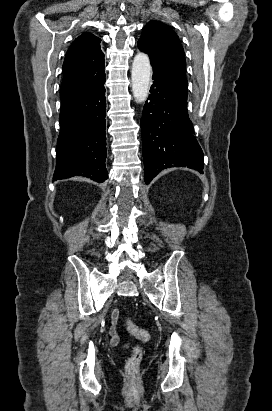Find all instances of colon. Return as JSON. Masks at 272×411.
I'll list each match as a JSON object with an SVG mask.
<instances>
[{"instance_id":"5ec220e1","label":"colon","mask_w":272,"mask_h":411,"mask_svg":"<svg viewBox=\"0 0 272 411\" xmlns=\"http://www.w3.org/2000/svg\"><path fill=\"white\" fill-rule=\"evenodd\" d=\"M126 327L130 334L142 341H148L150 334L147 330L138 327L131 320L126 321ZM143 352L139 346L133 348L132 354L126 361V371L130 378V384L136 385V377L139 371V367L142 361Z\"/></svg>"}]
</instances>
